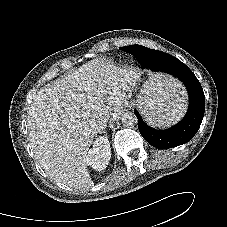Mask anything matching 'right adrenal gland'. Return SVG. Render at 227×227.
<instances>
[{
	"label": "right adrenal gland",
	"mask_w": 227,
	"mask_h": 227,
	"mask_svg": "<svg viewBox=\"0 0 227 227\" xmlns=\"http://www.w3.org/2000/svg\"><path fill=\"white\" fill-rule=\"evenodd\" d=\"M105 127H106V126H103L102 128H100V129H99V131H98V133H100V134H104V133H105V131H103V129H105Z\"/></svg>",
	"instance_id": "obj_1"
}]
</instances>
